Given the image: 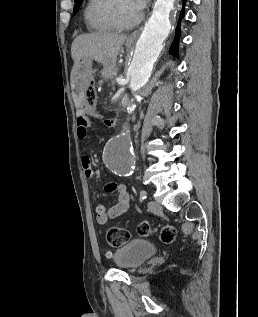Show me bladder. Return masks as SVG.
<instances>
[{"label":"bladder","mask_w":258,"mask_h":317,"mask_svg":"<svg viewBox=\"0 0 258 317\" xmlns=\"http://www.w3.org/2000/svg\"><path fill=\"white\" fill-rule=\"evenodd\" d=\"M157 251L154 243L142 239H135L121 248L113 255V261L117 268L134 269L152 257Z\"/></svg>","instance_id":"1"}]
</instances>
